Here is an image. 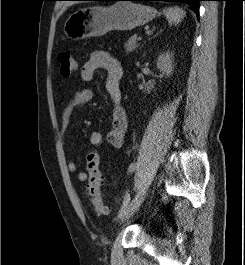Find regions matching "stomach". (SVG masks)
Wrapping results in <instances>:
<instances>
[{
  "label": "stomach",
  "mask_w": 245,
  "mask_h": 265,
  "mask_svg": "<svg viewBox=\"0 0 245 265\" xmlns=\"http://www.w3.org/2000/svg\"><path fill=\"white\" fill-rule=\"evenodd\" d=\"M156 15V9L133 2L88 6L78 9L68 17L64 24V32L72 40L98 37L112 30H132L145 25Z\"/></svg>",
  "instance_id": "0dacf381"
}]
</instances>
